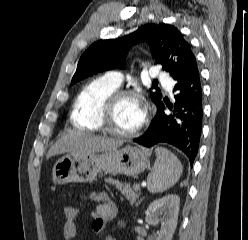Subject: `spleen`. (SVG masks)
Listing matches in <instances>:
<instances>
[{"mask_svg":"<svg viewBox=\"0 0 248 240\" xmlns=\"http://www.w3.org/2000/svg\"><path fill=\"white\" fill-rule=\"evenodd\" d=\"M156 160L147 177V189L151 193H162L179 180L183 167L177 157L163 147L155 149Z\"/></svg>","mask_w":248,"mask_h":240,"instance_id":"obj_1","label":"spleen"}]
</instances>
